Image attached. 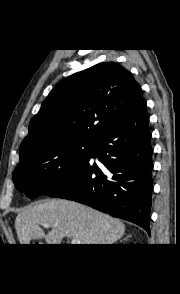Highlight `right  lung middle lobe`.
Listing matches in <instances>:
<instances>
[{"mask_svg":"<svg viewBox=\"0 0 180 294\" xmlns=\"http://www.w3.org/2000/svg\"><path fill=\"white\" fill-rule=\"evenodd\" d=\"M93 142L45 147L20 161L13 174L18 190L29 198L48 194L72 177L89 159Z\"/></svg>","mask_w":180,"mask_h":294,"instance_id":"right-lung-middle-lobe-1","label":"right lung middle lobe"}]
</instances>
